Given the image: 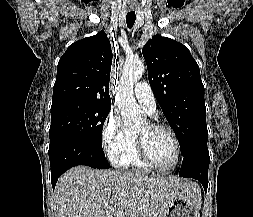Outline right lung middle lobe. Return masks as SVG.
Returning <instances> with one entry per match:
<instances>
[{
	"label": "right lung middle lobe",
	"instance_id": "obj_1",
	"mask_svg": "<svg viewBox=\"0 0 253 217\" xmlns=\"http://www.w3.org/2000/svg\"><path fill=\"white\" fill-rule=\"evenodd\" d=\"M111 105L69 100L51 106L50 143L63 138H79L96 150L102 149V128Z\"/></svg>",
	"mask_w": 253,
	"mask_h": 217
}]
</instances>
